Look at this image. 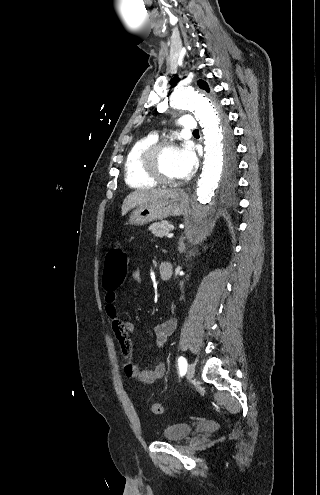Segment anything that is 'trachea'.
I'll return each instance as SVG.
<instances>
[{
	"label": "trachea",
	"mask_w": 320,
	"mask_h": 495,
	"mask_svg": "<svg viewBox=\"0 0 320 495\" xmlns=\"http://www.w3.org/2000/svg\"><path fill=\"white\" fill-rule=\"evenodd\" d=\"M193 133H199V131L198 130H194Z\"/></svg>",
	"instance_id": "obj_1"
}]
</instances>
